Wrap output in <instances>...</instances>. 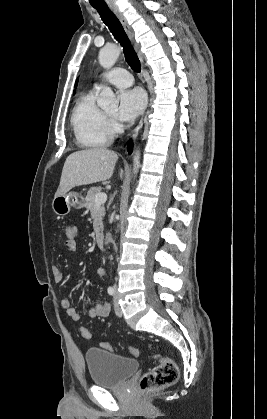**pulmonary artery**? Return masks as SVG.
Returning a JSON list of instances; mask_svg holds the SVG:
<instances>
[{"label": "pulmonary artery", "mask_w": 267, "mask_h": 419, "mask_svg": "<svg viewBox=\"0 0 267 419\" xmlns=\"http://www.w3.org/2000/svg\"><path fill=\"white\" fill-rule=\"evenodd\" d=\"M102 83H109L116 87H128L133 83L132 75L123 68H114L104 73L99 80L94 83V88H100Z\"/></svg>", "instance_id": "1"}]
</instances>
